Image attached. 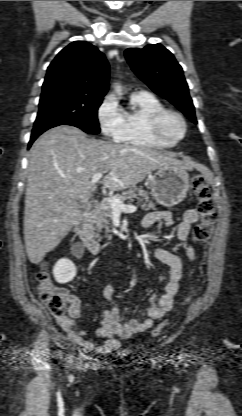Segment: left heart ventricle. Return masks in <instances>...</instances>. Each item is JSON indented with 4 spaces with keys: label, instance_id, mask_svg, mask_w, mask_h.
I'll return each instance as SVG.
<instances>
[{
    "label": "left heart ventricle",
    "instance_id": "left-heart-ventricle-1",
    "mask_svg": "<svg viewBox=\"0 0 242 416\" xmlns=\"http://www.w3.org/2000/svg\"><path fill=\"white\" fill-rule=\"evenodd\" d=\"M162 128L170 137H179L182 133V125L174 116H167L163 121Z\"/></svg>",
    "mask_w": 242,
    "mask_h": 416
}]
</instances>
